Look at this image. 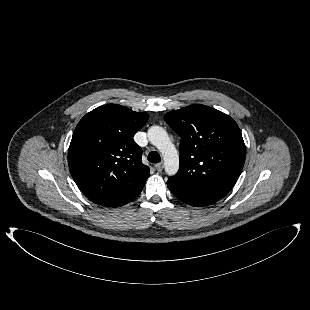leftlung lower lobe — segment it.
<instances>
[{
    "instance_id": "0a47b994",
    "label": "left lung lower lobe",
    "mask_w": 310,
    "mask_h": 310,
    "mask_svg": "<svg viewBox=\"0 0 310 310\" xmlns=\"http://www.w3.org/2000/svg\"><path fill=\"white\" fill-rule=\"evenodd\" d=\"M167 186L170 189V191L181 201L193 205V206H207L215 203L217 198L209 197L201 194H197L194 192L186 191L175 184L171 183L170 181H167Z\"/></svg>"
}]
</instances>
